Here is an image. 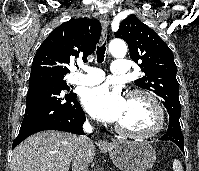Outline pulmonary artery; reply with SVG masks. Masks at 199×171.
I'll use <instances>...</instances> for the list:
<instances>
[{"mask_svg": "<svg viewBox=\"0 0 199 171\" xmlns=\"http://www.w3.org/2000/svg\"><path fill=\"white\" fill-rule=\"evenodd\" d=\"M82 70L84 73H76L72 76L71 83L90 86L98 84L104 80V72L100 69L84 66ZM128 70V61L125 59L115 60L111 65V73L113 75L124 76L128 73Z\"/></svg>", "mask_w": 199, "mask_h": 171, "instance_id": "e3ab8cb5", "label": "pulmonary artery"}]
</instances>
